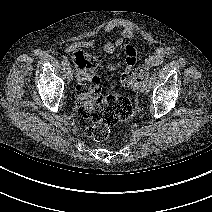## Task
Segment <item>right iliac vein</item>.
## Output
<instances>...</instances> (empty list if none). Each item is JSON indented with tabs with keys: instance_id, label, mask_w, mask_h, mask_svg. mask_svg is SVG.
<instances>
[{
	"instance_id": "1",
	"label": "right iliac vein",
	"mask_w": 212,
	"mask_h": 212,
	"mask_svg": "<svg viewBox=\"0 0 212 212\" xmlns=\"http://www.w3.org/2000/svg\"><path fill=\"white\" fill-rule=\"evenodd\" d=\"M67 78H68V81L71 82L73 80V73H72V70L70 67H67Z\"/></svg>"
}]
</instances>
